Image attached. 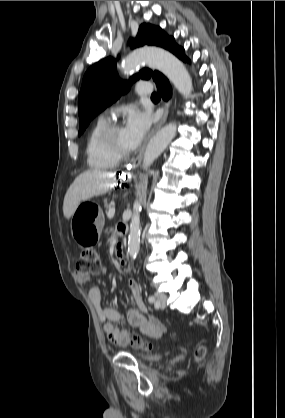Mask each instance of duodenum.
I'll list each match as a JSON object with an SVG mask.
<instances>
[{
  "label": "duodenum",
  "instance_id": "obj_1",
  "mask_svg": "<svg viewBox=\"0 0 285 418\" xmlns=\"http://www.w3.org/2000/svg\"><path fill=\"white\" fill-rule=\"evenodd\" d=\"M118 231H119L120 233H125V232H126V228H125V226H124V225H120V226L118 227Z\"/></svg>",
  "mask_w": 285,
  "mask_h": 418
}]
</instances>
